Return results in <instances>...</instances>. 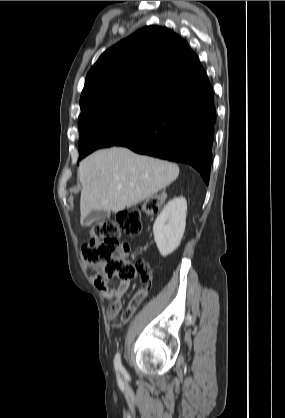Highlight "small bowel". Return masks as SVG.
<instances>
[{
    "instance_id": "small-bowel-1",
    "label": "small bowel",
    "mask_w": 285,
    "mask_h": 418,
    "mask_svg": "<svg viewBox=\"0 0 285 418\" xmlns=\"http://www.w3.org/2000/svg\"><path fill=\"white\" fill-rule=\"evenodd\" d=\"M139 272H140V280L142 283L147 284L149 287L152 284V273L150 269V265L144 261H138ZM100 265L91 264L88 266V269L91 270L94 274H97L100 271ZM128 286V279H123L117 288L109 287L108 289L104 290V295L106 298L111 300V306L106 312V317L108 320L115 319L123 309V295ZM134 302L132 299L127 307V309L122 313V323L127 322L136 311L138 306L141 304ZM120 324V325H121Z\"/></svg>"
}]
</instances>
